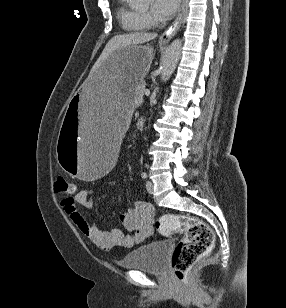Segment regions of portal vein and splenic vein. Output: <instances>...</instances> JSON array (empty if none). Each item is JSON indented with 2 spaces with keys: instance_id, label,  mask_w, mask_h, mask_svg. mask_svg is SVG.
<instances>
[{
  "instance_id": "18ae733b",
  "label": "portal vein and splenic vein",
  "mask_w": 286,
  "mask_h": 308,
  "mask_svg": "<svg viewBox=\"0 0 286 308\" xmlns=\"http://www.w3.org/2000/svg\"><path fill=\"white\" fill-rule=\"evenodd\" d=\"M144 94H145V95H149V94H150V91L145 89V90H144Z\"/></svg>"
}]
</instances>
